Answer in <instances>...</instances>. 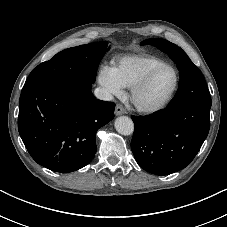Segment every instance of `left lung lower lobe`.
<instances>
[{
	"mask_svg": "<svg viewBox=\"0 0 227 227\" xmlns=\"http://www.w3.org/2000/svg\"><path fill=\"white\" fill-rule=\"evenodd\" d=\"M210 107L185 104L167 107L150 116H132L131 149L138 165L156 175L188 166L210 128Z\"/></svg>",
	"mask_w": 227,
	"mask_h": 227,
	"instance_id": "left-lung-lower-lobe-1",
	"label": "left lung lower lobe"
}]
</instances>
